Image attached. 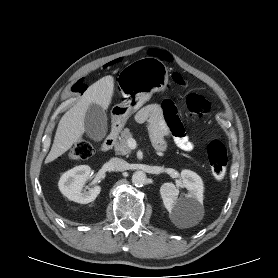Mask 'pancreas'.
I'll return each instance as SVG.
<instances>
[{
	"mask_svg": "<svg viewBox=\"0 0 278 278\" xmlns=\"http://www.w3.org/2000/svg\"><path fill=\"white\" fill-rule=\"evenodd\" d=\"M132 137L133 135L128 128L121 132L120 139L115 145L116 154L129 156L131 149L128 146V140Z\"/></svg>",
	"mask_w": 278,
	"mask_h": 278,
	"instance_id": "1",
	"label": "pancreas"
}]
</instances>
